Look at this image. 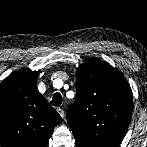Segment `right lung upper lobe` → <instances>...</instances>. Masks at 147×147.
<instances>
[{
  "label": "right lung upper lobe",
  "mask_w": 147,
  "mask_h": 147,
  "mask_svg": "<svg viewBox=\"0 0 147 147\" xmlns=\"http://www.w3.org/2000/svg\"><path fill=\"white\" fill-rule=\"evenodd\" d=\"M38 71L21 69L0 84V145L47 147L60 115L37 89Z\"/></svg>",
  "instance_id": "1"
}]
</instances>
